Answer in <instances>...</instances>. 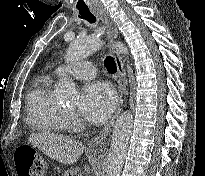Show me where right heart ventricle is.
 <instances>
[{
	"mask_svg": "<svg viewBox=\"0 0 205 176\" xmlns=\"http://www.w3.org/2000/svg\"><path fill=\"white\" fill-rule=\"evenodd\" d=\"M52 82L51 75L34 80L27 95V122L35 130L60 135L66 125L65 111L52 95Z\"/></svg>",
	"mask_w": 205,
	"mask_h": 176,
	"instance_id": "e07e8e85",
	"label": "right heart ventricle"
}]
</instances>
